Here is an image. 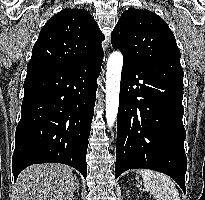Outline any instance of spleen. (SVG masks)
I'll return each instance as SVG.
<instances>
[{
  "label": "spleen",
  "mask_w": 205,
  "mask_h": 200,
  "mask_svg": "<svg viewBox=\"0 0 205 200\" xmlns=\"http://www.w3.org/2000/svg\"><path fill=\"white\" fill-rule=\"evenodd\" d=\"M139 174L144 186L156 200H180L178 189L172 179L164 174L150 169H142Z\"/></svg>",
  "instance_id": "1"
}]
</instances>
